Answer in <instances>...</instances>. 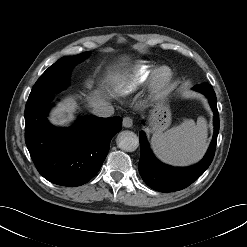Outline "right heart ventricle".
Masks as SVG:
<instances>
[{
    "label": "right heart ventricle",
    "mask_w": 247,
    "mask_h": 247,
    "mask_svg": "<svg viewBox=\"0 0 247 247\" xmlns=\"http://www.w3.org/2000/svg\"><path fill=\"white\" fill-rule=\"evenodd\" d=\"M155 69L156 65L151 62L140 61L136 63L131 69L129 78L122 88V92L127 94L134 91L153 74Z\"/></svg>",
    "instance_id": "e07e8e85"
}]
</instances>
